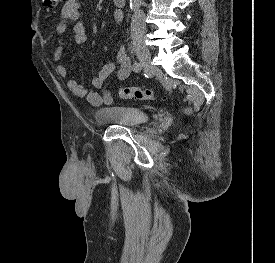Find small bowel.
Masks as SVG:
<instances>
[{
  "instance_id": "c3829d8e",
  "label": "small bowel",
  "mask_w": 275,
  "mask_h": 263,
  "mask_svg": "<svg viewBox=\"0 0 275 263\" xmlns=\"http://www.w3.org/2000/svg\"><path fill=\"white\" fill-rule=\"evenodd\" d=\"M122 12L120 10H114L112 13V19L116 23L122 21ZM72 25V32L74 40L77 44H84L87 40V33L84 24L80 20V2L79 0H67L61 9V19L56 26V33L59 37L58 44L53 53V59L57 62V73L66 78L68 76V70L66 66L60 63L63 54V42L62 37L65 34L69 25ZM132 71L130 58L125 50L121 47L116 55V63L108 62L104 64L96 76L93 77L91 83L95 89L101 90L105 81L113 73H115V80L117 82L127 79ZM67 86L69 90L78 98H84L87 102L94 106L100 107L104 105H111L113 102V95L109 90H101L97 92L85 88L81 83L74 79H68Z\"/></svg>"
}]
</instances>
